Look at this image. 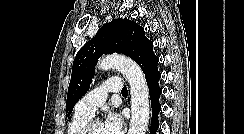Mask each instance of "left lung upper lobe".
Instances as JSON below:
<instances>
[{
  "label": "left lung upper lobe",
  "instance_id": "1",
  "mask_svg": "<svg viewBox=\"0 0 244 134\" xmlns=\"http://www.w3.org/2000/svg\"><path fill=\"white\" fill-rule=\"evenodd\" d=\"M115 52L132 58L146 78L158 71V57L153 52V42L145 37L143 27L128 19H115L106 23L76 54L68 87L67 117L76 102L88 91L98 58Z\"/></svg>",
  "mask_w": 244,
  "mask_h": 134
}]
</instances>
